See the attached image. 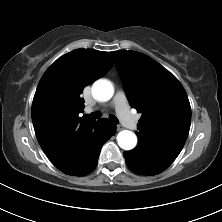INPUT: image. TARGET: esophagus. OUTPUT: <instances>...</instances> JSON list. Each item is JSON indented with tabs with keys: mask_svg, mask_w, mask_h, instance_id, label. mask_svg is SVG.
I'll list each match as a JSON object with an SVG mask.
<instances>
[{
	"mask_svg": "<svg viewBox=\"0 0 222 222\" xmlns=\"http://www.w3.org/2000/svg\"><path fill=\"white\" fill-rule=\"evenodd\" d=\"M116 129H117V131H121L123 129V127L121 125H116Z\"/></svg>",
	"mask_w": 222,
	"mask_h": 222,
	"instance_id": "obj_1",
	"label": "esophagus"
}]
</instances>
